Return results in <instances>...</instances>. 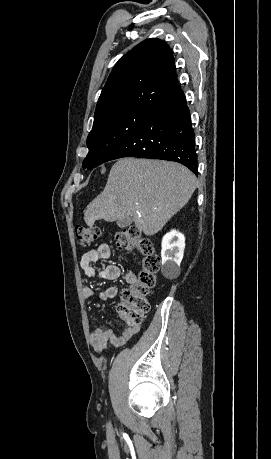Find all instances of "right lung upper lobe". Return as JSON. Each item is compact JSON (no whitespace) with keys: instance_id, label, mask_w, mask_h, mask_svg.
Wrapping results in <instances>:
<instances>
[{"instance_id":"right-lung-upper-lobe-1","label":"right lung upper lobe","mask_w":271,"mask_h":459,"mask_svg":"<svg viewBox=\"0 0 271 459\" xmlns=\"http://www.w3.org/2000/svg\"><path fill=\"white\" fill-rule=\"evenodd\" d=\"M182 93L169 46L147 39L114 66L99 97L95 119L136 107L157 112Z\"/></svg>"}]
</instances>
